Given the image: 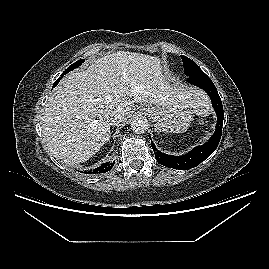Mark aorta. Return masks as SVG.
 <instances>
[{
  "label": "aorta",
  "instance_id": "1",
  "mask_svg": "<svg viewBox=\"0 0 269 269\" xmlns=\"http://www.w3.org/2000/svg\"><path fill=\"white\" fill-rule=\"evenodd\" d=\"M148 126V120L142 116L134 117L131 122V129L135 133H144Z\"/></svg>",
  "mask_w": 269,
  "mask_h": 269
}]
</instances>
